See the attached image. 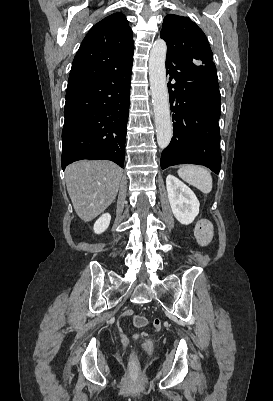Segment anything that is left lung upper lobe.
I'll use <instances>...</instances> for the list:
<instances>
[{"label": "left lung upper lobe", "instance_id": "5c2ea615", "mask_svg": "<svg viewBox=\"0 0 273 401\" xmlns=\"http://www.w3.org/2000/svg\"><path fill=\"white\" fill-rule=\"evenodd\" d=\"M160 36L167 43V53L196 64L214 63L206 35L189 17L166 15Z\"/></svg>", "mask_w": 273, "mask_h": 401}]
</instances>
